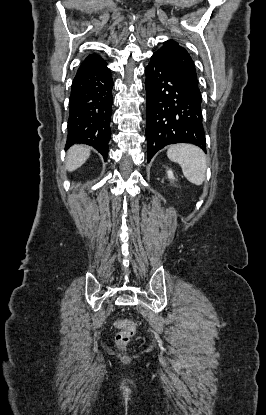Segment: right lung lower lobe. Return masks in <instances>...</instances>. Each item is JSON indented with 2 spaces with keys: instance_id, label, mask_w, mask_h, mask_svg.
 <instances>
[{
  "instance_id": "right-lung-lower-lobe-1",
  "label": "right lung lower lobe",
  "mask_w": 266,
  "mask_h": 415,
  "mask_svg": "<svg viewBox=\"0 0 266 415\" xmlns=\"http://www.w3.org/2000/svg\"><path fill=\"white\" fill-rule=\"evenodd\" d=\"M112 87L106 65L75 76L69 101L66 149L83 143L94 147L106 159L111 138Z\"/></svg>"
}]
</instances>
